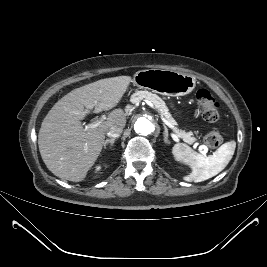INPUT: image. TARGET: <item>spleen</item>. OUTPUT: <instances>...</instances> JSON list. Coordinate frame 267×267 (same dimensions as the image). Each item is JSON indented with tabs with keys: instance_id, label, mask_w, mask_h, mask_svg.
<instances>
[{
	"instance_id": "obj_1",
	"label": "spleen",
	"mask_w": 267,
	"mask_h": 267,
	"mask_svg": "<svg viewBox=\"0 0 267 267\" xmlns=\"http://www.w3.org/2000/svg\"><path fill=\"white\" fill-rule=\"evenodd\" d=\"M236 142L231 140L221 145L213 155L204 156L184 143L175 144L172 153L177 161L191 167L192 172L184 177L188 182H202L219 174L228 165L235 152Z\"/></svg>"
}]
</instances>
